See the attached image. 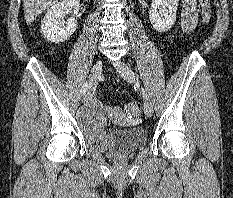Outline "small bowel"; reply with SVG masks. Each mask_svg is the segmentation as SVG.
Here are the masks:
<instances>
[{"label":"small bowel","mask_w":233,"mask_h":198,"mask_svg":"<svg viewBox=\"0 0 233 198\" xmlns=\"http://www.w3.org/2000/svg\"><path fill=\"white\" fill-rule=\"evenodd\" d=\"M181 5V28L184 33H189L197 24L196 1L181 0Z\"/></svg>","instance_id":"small-bowel-1"}]
</instances>
